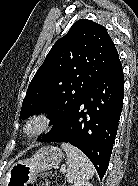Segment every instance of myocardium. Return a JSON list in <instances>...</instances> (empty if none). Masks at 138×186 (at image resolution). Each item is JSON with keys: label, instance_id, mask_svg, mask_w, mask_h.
<instances>
[{"label": "myocardium", "instance_id": "f54148a6", "mask_svg": "<svg viewBox=\"0 0 138 186\" xmlns=\"http://www.w3.org/2000/svg\"><path fill=\"white\" fill-rule=\"evenodd\" d=\"M53 120L47 113L31 115L24 123L22 134L29 139L37 138L52 127Z\"/></svg>", "mask_w": 138, "mask_h": 186}]
</instances>
